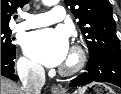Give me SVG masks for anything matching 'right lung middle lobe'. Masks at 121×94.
<instances>
[{
  "instance_id": "dd1d6c3e",
  "label": "right lung middle lobe",
  "mask_w": 121,
  "mask_h": 94,
  "mask_svg": "<svg viewBox=\"0 0 121 94\" xmlns=\"http://www.w3.org/2000/svg\"><path fill=\"white\" fill-rule=\"evenodd\" d=\"M11 29H2L1 30V51H14L16 46L13 45L10 38Z\"/></svg>"
}]
</instances>
